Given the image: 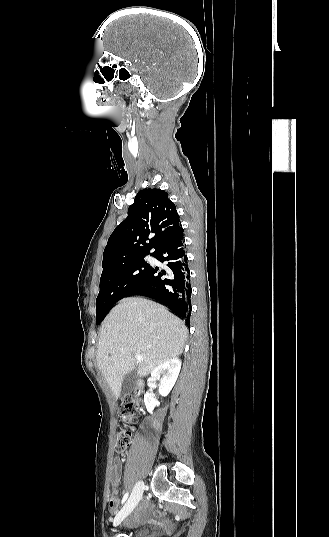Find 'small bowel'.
I'll return each instance as SVG.
<instances>
[{"instance_id":"small-bowel-1","label":"small bowel","mask_w":329,"mask_h":537,"mask_svg":"<svg viewBox=\"0 0 329 537\" xmlns=\"http://www.w3.org/2000/svg\"><path fill=\"white\" fill-rule=\"evenodd\" d=\"M120 470H121V461L119 458L114 459V472H113V481H114V487L111 493V496L108 500V505L110 512L114 514L117 510V506L119 504V488L118 483L120 480ZM149 520V516L147 512L145 511L143 506H138L136 511L134 512V515L132 518L128 521L129 523L136 522V523H142Z\"/></svg>"}]
</instances>
